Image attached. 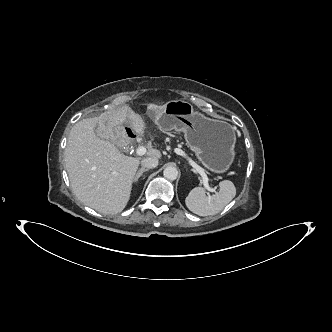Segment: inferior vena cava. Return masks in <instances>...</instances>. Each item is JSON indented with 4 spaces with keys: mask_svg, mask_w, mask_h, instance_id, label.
Listing matches in <instances>:
<instances>
[{
    "mask_svg": "<svg viewBox=\"0 0 332 332\" xmlns=\"http://www.w3.org/2000/svg\"><path fill=\"white\" fill-rule=\"evenodd\" d=\"M141 165L146 168H155L158 166V159L153 157L145 158L141 161Z\"/></svg>",
    "mask_w": 332,
    "mask_h": 332,
    "instance_id": "inferior-vena-cava-1",
    "label": "inferior vena cava"
}]
</instances>
